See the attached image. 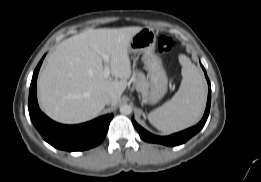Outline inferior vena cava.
<instances>
[{"mask_svg":"<svg viewBox=\"0 0 261 182\" xmlns=\"http://www.w3.org/2000/svg\"><path fill=\"white\" fill-rule=\"evenodd\" d=\"M103 101H104L105 104H110L112 102V98H111L110 95H105L103 97Z\"/></svg>","mask_w":261,"mask_h":182,"instance_id":"inferior-vena-cava-1","label":"inferior vena cava"}]
</instances>
